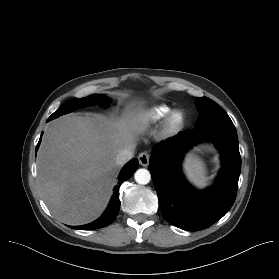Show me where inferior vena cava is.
I'll return each mask as SVG.
<instances>
[{"label":"inferior vena cava","instance_id":"inferior-vena-cava-1","mask_svg":"<svg viewBox=\"0 0 279 279\" xmlns=\"http://www.w3.org/2000/svg\"><path fill=\"white\" fill-rule=\"evenodd\" d=\"M134 151H135L134 147L126 148L120 151L116 157V164L118 166H121L127 163L129 160L133 158Z\"/></svg>","mask_w":279,"mask_h":279}]
</instances>
